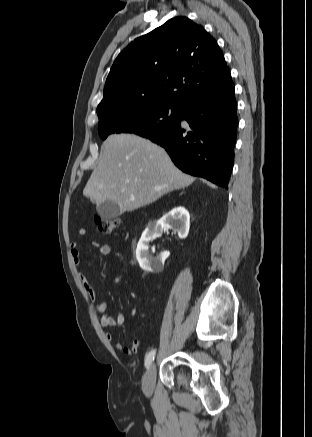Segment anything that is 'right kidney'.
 <instances>
[{
	"label": "right kidney",
	"instance_id": "right-kidney-1",
	"mask_svg": "<svg viewBox=\"0 0 312 437\" xmlns=\"http://www.w3.org/2000/svg\"><path fill=\"white\" fill-rule=\"evenodd\" d=\"M172 228L179 238L187 237L190 228V215L184 207H177L165 214L155 225L148 226L142 233L136 249V258L140 267L148 272L162 269L168 254L152 257L149 254V242L161 235L163 229Z\"/></svg>",
	"mask_w": 312,
	"mask_h": 437
}]
</instances>
